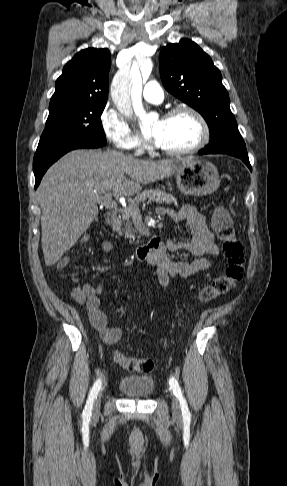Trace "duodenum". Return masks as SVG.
<instances>
[{
    "instance_id": "410a0bca",
    "label": "duodenum",
    "mask_w": 287,
    "mask_h": 486,
    "mask_svg": "<svg viewBox=\"0 0 287 486\" xmlns=\"http://www.w3.org/2000/svg\"><path fill=\"white\" fill-rule=\"evenodd\" d=\"M116 212L109 211L106 215L105 223L108 227H112L116 221ZM161 245V238L158 235L153 236L148 243L139 245L134 249V254L138 260H147L155 255Z\"/></svg>"
}]
</instances>
